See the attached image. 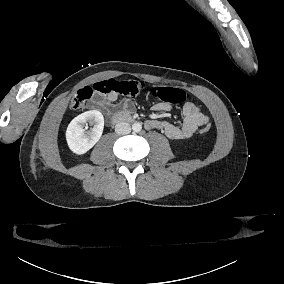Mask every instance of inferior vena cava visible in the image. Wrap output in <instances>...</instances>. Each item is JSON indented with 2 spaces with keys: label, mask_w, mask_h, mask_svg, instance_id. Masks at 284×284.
<instances>
[{
  "label": "inferior vena cava",
  "mask_w": 284,
  "mask_h": 284,
  "mask_svg": "<svg viewBox=\"0 0 284 284\" xmlns=\"http://www.w3.org/2000/svg\"><path fill=\"white\" fill-rule=\"evenodd\" d=\"M115 132L119 135H126L131 132V126L127 122H120L115 126Z\"/></svg>",
  "instance_id": "inferior-vena-cava-1"
}]
</instances>
